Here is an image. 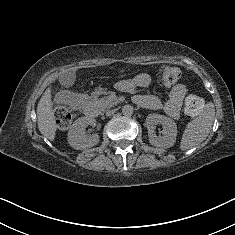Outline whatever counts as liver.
<instances>
[{
  "label": "liver",
  "mask_w": 235,
  "mask_h": 235,
  "mask_svg": "<svg viewBox=\"0 0 235 235\" xmlns=\"http://www.w3.org/2000/svg\"><path fill=\"white\" fill-rule=\"evenodd\" d=\"M52 106L51 91L47 89L38 102L37 117L39 131L48 139H53L56 131L52 126Z\"/></svg>",
  "instance_id": "obj_1"
}]
</instances>
